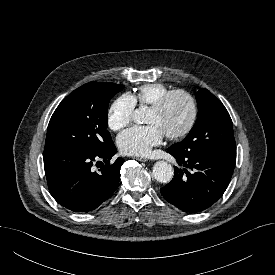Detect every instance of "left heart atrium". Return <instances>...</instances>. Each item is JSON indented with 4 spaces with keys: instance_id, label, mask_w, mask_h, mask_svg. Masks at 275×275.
<instances>
[{
    "instance_id": "1",
    "label": "left heart atrium",
    "mask_w": 275,
    "mask_h": 275,
    "mask_svg": "<svg viewBox=\"0 0 275 275\" xmlns=\"http://www.w3.org/2000/svg\"><path fill=\"white\" fill-rule=\"evenodd\" d=\"M164 134L156 124L134 126L122 132L117 139L120 150L127 155L143 156L159 145Z\"/></svg>"
}]
</instances>
